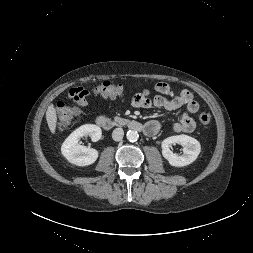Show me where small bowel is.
Segmentation results:
<instances>
[{
    "label": "small bowel",
    "instance_id": "small-bowel-1",
    "mask_svg": "<svg viewBox=\"0 0 253 253\" xmlns=\"http://www.w3.org/2000/svg\"><path fill=\"white\" fill-rule=\"evenodd\" d=\"M154 90L157 93L154 97H150V92L147 89L134 93L132 96L133 106L137 108L155 107L168 111L177 110L184 106L185 112L180 120L172 125V129L176 133H192L196 125L191 115L199 110V104L194 100L192 93L187 89H182L177 95H174L172 88L166 82L157 83ZM88 97L89 92L80 87L73 88L68 93V98L79 107H85L88 104ZM159 127L157 121L151 120L145 124V133L154 135L158 132Z\"/></svg>",
    "mask_w": 253,
    "mask_h": 253
}]
</instances>
